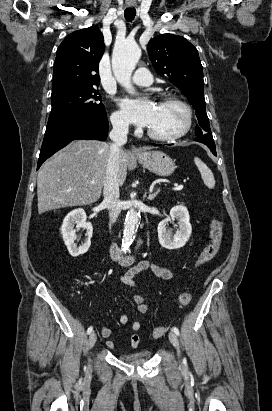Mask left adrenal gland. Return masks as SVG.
<instances>
[{
  "instance_id": "1",
  "label": "left adrenal gland",
  "mask_w": 272,
  "mask_h": 411,
  "mask_svg": "<svg viewBox=\"0 0 272 411\" xmlns=\"http://www.w3.org/2000/svg\"><path fill=\"white\" fill-rule=\"evenodd\" d=\"M159 189H157L154 193L149 194L148 200L152 201L158 195Z\"/></svg>"
}]
</instances>
